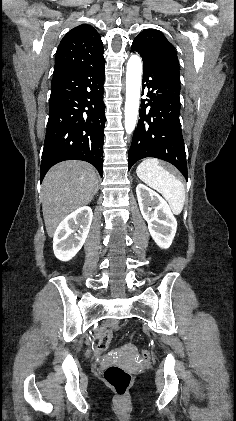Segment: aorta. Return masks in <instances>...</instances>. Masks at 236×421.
Masks as SVG:
<instances>
[{"label": "aorta", "mask_w": 236, "mask_h": 421, "mask_svg": "<svg viewBox=\"0 0 236 421\" xmlns=\"http://www.w3.org/2000/svg\"><path fill=\"white\" fill-rule=\"evenodd\" d=\"M142 80V60L138 54H131L126 70V100L124 106V126L126 132H133L139 112L140 88Z\"/></svg>", "instance_id": "1"}]
</instances>
